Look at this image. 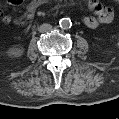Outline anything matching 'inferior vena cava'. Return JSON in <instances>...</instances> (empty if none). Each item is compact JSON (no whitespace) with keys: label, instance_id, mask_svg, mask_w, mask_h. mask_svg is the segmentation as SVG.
<instances>
[{"label":"inferior vena cava","instance_id":"inferior-vena-cava-1","mask_svg":"<svg viewBox=\"0 0 119 119\" xmlns=\"http://www.w3.org/2000/svg\"><path fill=\"white\" fill-rule=\"evenodd\" d=\"M51 29H52V25L47 24V23H44V24L40 25V27H39L40 32H47V31H50Z\"/></svg>","mask_w":119,"mask_h":119}]
</instances>
